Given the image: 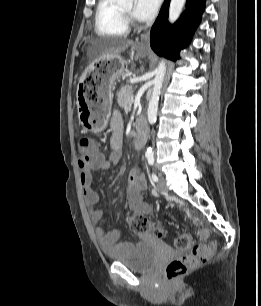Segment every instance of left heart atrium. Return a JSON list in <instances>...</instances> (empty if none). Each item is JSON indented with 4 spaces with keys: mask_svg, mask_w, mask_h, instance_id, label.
Returning a JSON list of instances; mask_svg holds the SVG:
<instances>
[{
    "mask_svg": "<svg viewBox=\"0 0 261 306\" xmlns=\"http://www.w3.org/2000/svg\"><path fill=\"white\" fill-rule=\"evenodd\" d=\"M161 0H135L133 16L139 21L151 19L157 12Z\"/></svg>",
    "mask_w": 261,
    "mask_h": 306,
    "instance_id": "1",
    "label": "left heart atrium"
}]
</instances>
